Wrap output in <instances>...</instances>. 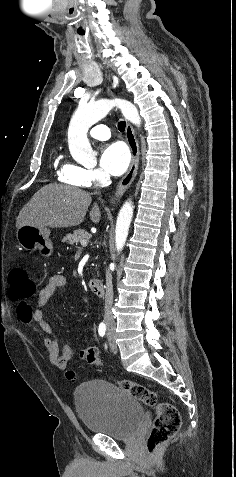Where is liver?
I'll return each instance as SVG.
<instances>
[{"mask_svg": "<svg viewBox=\"0 0 236 477\" xmlns=\"http://www.w3.org/2000/svg\"><path fill=\"white\" fill-rule=\"evenodd\" d=\"M90 193L74 186L49 184L37 191L20 211L16 227L31 225L43 228H67L77 226L84 220L89 205ZM101 212L95 203L90 212V219L98 223Z\"/></svg>", "mask_w": 236, "mask_h": 477, "instance_id": "1", "label": "liver"}]
</instances>
